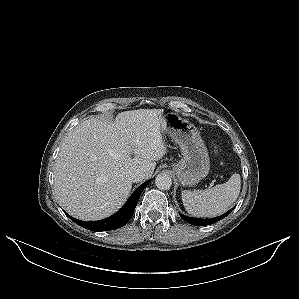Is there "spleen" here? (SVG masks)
<instances>
[{"instance_id":"obj_1","label":"spleen","mask_w":299,"mask_h":299,"mask_svg":"<svg viewBox=\"0 0 299 299\" xmlns=\"http://www.w3.org/2000/svg\"><path fill=\"white\" fill-rule=\"evenodd\" d=\"M241 189L240 175L235 173L224 184L203 191L184 190L182 202L187 212L195 217H214L226 212L236 201Z\"/></svg>"}]
</instances>
